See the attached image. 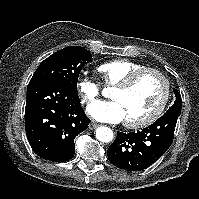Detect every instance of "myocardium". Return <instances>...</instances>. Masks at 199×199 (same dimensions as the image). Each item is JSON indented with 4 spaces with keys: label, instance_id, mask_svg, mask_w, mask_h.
Masks as SVG:
<instances>
[{
    "label": "myocardium",
    "instance_id": "f54148a6",
    "mask_svg": "<svg viewBox=\"0 0 199 199\" xmlns=\"http://www.w3.org/2000/svg\"><path fill=\"white\" fill-rule=\"evenodd\" d=\"M155 74L157 75L164 84V92L162 95L161 100L159 101L158 105L156 108L146 117L139 119V120H126L125 125L128 128H142L146 127L153 122H155L163 113L165 110L170 94H171V84L166 76L162 71L156 68H151V67H144L140 70H137L130 74L125 80H123L121 83L117 84L114 86V89L120 90V91H128L130 90L143 76L146 74Z\"/></svg>",
    "mask_w": 199,
    "mask_h": 199
}]
</instances>
